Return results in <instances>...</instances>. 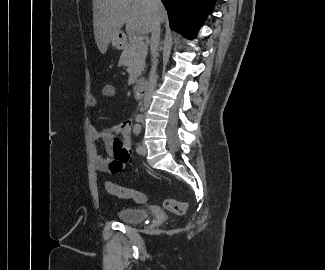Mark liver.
<instances>
[{
  "label": "liver",
  "instance_id": "liver-1",
  "mask_svg": "<svg viewBox=\"0 0 325 270\" xmlns=\"http://www.w3.org/2000/svg\"><path fill=\"white\" fill-rule=\"evenodd\" d=\"M162 4L149 0H93V29L99 51L104 54L113 38L126 24L129 36L152 32L156 19H165Z\"/></svg>",
  "mask_w": 325,
  "mask_h": 270
}]
</instances>
